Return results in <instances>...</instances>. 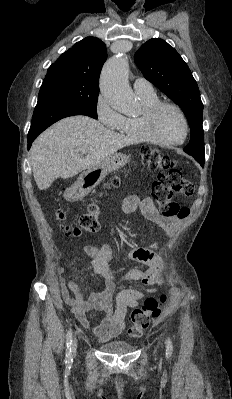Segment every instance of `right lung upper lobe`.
Segmentation results:
<instances>
[{
    "mask_svg": "<svg viewBox=\"0 0 232 399\" xmlns=\"http://www.w3.org/2000/svg\"><path fill=\"white\" fill-rule=\"evenodd\" d=\"M106 59L105 44L96 37H86L50 66L44 80L57 79L99 89L98 79Z\"/></svg>",
    "mask_w": 232,
    "mask_h": 399,
    "instance_id": "obj_1",
    "label": "right lung upper lobe"
}]
</instances>
